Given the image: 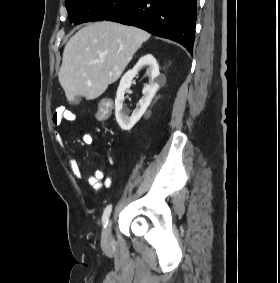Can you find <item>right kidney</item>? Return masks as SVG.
Masks as SVG:
<instances>
[{"instance_id":"1","label":"right kidney","mask_w":280,"mask_h":283,"mask_svg":"<svg viewBox=\"0 0 280 283\" xmlns=\"http://www.w3.org/2000/svg\"><path fill=\"white\" fill-rule=\"evenodd\" d=\"M145 66H148L147 75L149 77V84L143 88V97L139 101L138 108L133 111L131 116H128L129 111L123 108L125 91L131 86L132 80L139 70ZM161 81L162 78L160 77L159 66L156 59L151 54L141 57L133 69L123 75L115 99V117L122 130H130L140 120L149 107Z\"/></svg>"}]
</instances>
